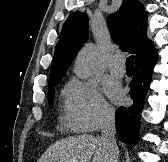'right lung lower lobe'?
Returning <instances> with one entry per match:
<instances>
[{"label": "right lung lower lobe", "instance_id": "1", "mask_svg": "<svg viewBox=\"0 0 168 162\" xmlns=\"http://www.w3.org/2000/svg\"><path fill=\"white\" fill-rule=\"evenodd\" d=\"M157 57L158 53L155 50L148 56L136 61L134 77L129 83L131 87L129 95L134 102L130 107H119L117 110L116 128L118 137L132 146L137 144L141 111Z\"/></svg>", "mask_w": 168, "mask_h": 162}]
</instances>
